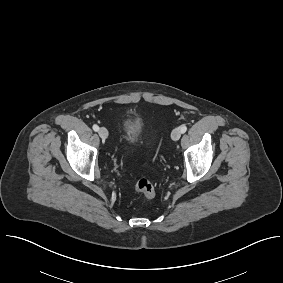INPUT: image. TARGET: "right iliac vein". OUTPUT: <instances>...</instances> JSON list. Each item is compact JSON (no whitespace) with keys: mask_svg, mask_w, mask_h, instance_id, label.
I'll use <instances>...</instances> for the list:
<instances>
[{"mask_svg":"<svg viewBox=\"0 0 283 283\" xmlns=\"http://www.w3.org/2000/svg\"><path fill=\"white\" fill-rule=\"evenodd\" d=\"M98 133H99V136L102 138V139H106L108 137V131L106 128L104 127H101L99 130H98Z\"/></svg>","mask_w":283,"mask_h":283,"instance_id":"63e3f726","label":"right iliac vein"}]
</instances>
